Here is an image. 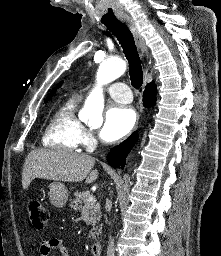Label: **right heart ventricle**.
<instances>
[{
	"instance_id": "1",
	"label": "right heart ventricle",
	"mask_w": 221,
	"mask_h": 256,
	"mask_svg": "<svg viewBox=\"0 0 221 256\" xmlns=\"http://www.w3.org/2000/svg\"><path fill=\"white\" fill-rule=\"evenodd\" d=\"M77 103V97H70L53 111L42 138L44 146L68 152L77 149L83 127L76 116Z\"/></svg>"
}]
</instances>
